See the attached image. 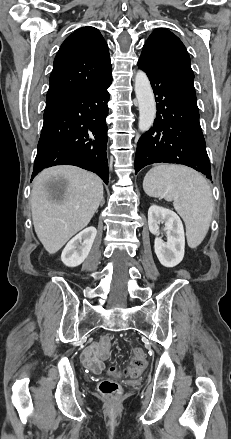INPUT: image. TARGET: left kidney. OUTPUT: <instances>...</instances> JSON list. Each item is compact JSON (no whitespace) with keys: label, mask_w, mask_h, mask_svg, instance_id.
<instances>
[{"label":"left kidney","mask_w":231,"mask_h":439,"mask_svg":"<svg viewBox=\"0 0 231 439\" xmlns=\"http://www.w3.org/2000/svg\"><path fill=\"white\" fill-rule=\"evenodd\" d=\"M165 223L167 242L159 235V224ZM148 225L152 234L156 235L154 249L160 263L165 267L178 265L185 251L184 228L179 216L170 209L152 205L148 210Z\"/></svg>","instance_id":"1"}]
</instances>
